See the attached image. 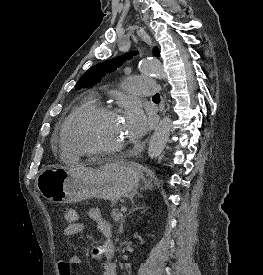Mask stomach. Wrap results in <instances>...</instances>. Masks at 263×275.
<instances>
[{"instance_id":"stomach-1","label":"stomach","mask_w":263,"mask_h":275,"mask_svg":"<svg viewBox=\"0 0 263 275\" xmlns=\"http://www.w3.org/2000/svg\"><path fill=\"white\" fill-rule=\"evenodd\" d=\"M139 175L125 162H108L98 168L73 166L44 169L36 179L40 194L54 203H76L100 198L116 203L137 193Z\"/></svg>"}]
</instances>
